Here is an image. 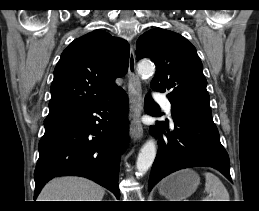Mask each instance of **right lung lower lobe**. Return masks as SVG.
Listing matches in <instances>:
<instances>
[{
    "label": "right lung lower lobe",
    "instance_id": "right-lung-lower-lobe-1",
    "mask_svg": "<svg viewBox=\"0 0 259 211\" xmlns=\"http://www.w3.org/2000/svg\"><path fill=\"white\" fill-rule=\"evenodd\" d=\"M128 97L122 91L91 107L47 116L34 172L37 198L54 177L89 178L119 199V158L128 144Z\"/></svg>",
    "mask_w": 259,
    "mask_h": 211
}]
</instances>
